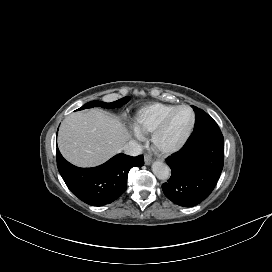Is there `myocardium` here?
<instances>
[{
  "instance_id": "obj_1",
  "label": "myocardium",
  "mask_w": 272,
  "mask_h": 272,
  "mask_svg": "<svg viewBox=\"0 0 272 272\" xmlns=\"http://www.w3.org/2000/svg\"><path fill=\"white\" fill-rule=\"evenodd\" d=\"M182 109H186L191 113V121L190 124L188 126V128L186 129V131L184 132V134L174 143H165L163 141V136L165 134V131L167 129V126L171 120V118L173 117V115ZM195 121H196V117H195V113L193 111V109L190 106L187 105H179L176 106L173 110H171L165 117L164 119L161 121L160 125L157 127V129L153 132L152 134V145L153 148L162 154H170L173 152L178 151L179 149H181L186 142L188 141V139L190 138L194 127H195Z\"/></svg>"
}]
</instances>
